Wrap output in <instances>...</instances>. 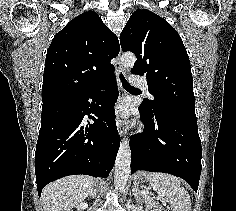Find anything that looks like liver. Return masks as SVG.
Listing matches in <instances>:
<instances>
[{"label": "liver", "mask_w": 236, "mask_h": 211, "mask_svg": "<svg viewBox=\"0 0 236 211\" xmlns=\"http://www.w3.org/2000/svg\"><path fill=\"white\" fill-rule=\"evenodd\" d=\"M94 179L86 175L61 178L42 191L44 211H72L94 191Z\"/></svg>", "instance_id": "1"}]
</instances>
